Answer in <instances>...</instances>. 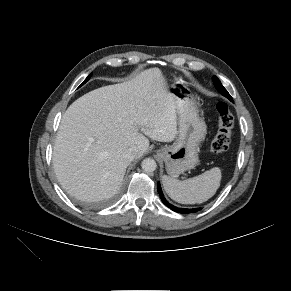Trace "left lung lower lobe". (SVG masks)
I'll return each mask as SVG.
<instances>
[{
  "label": "left lung lower lobe",
  "instance_id": "obj_1",
  "mask_svg": "<svg viewBox=\"0 0 291 291\" xmlns=\"http://www.w3.org/2000/svg\"><path fill=\"white\" fill-rule=\"evenodd\" d=\"M157 189H158V194L160 195V198L162 200V202L167 206L169 207L171 210L177 212V213H182V214H189V213H195L199 210H201V208H192V209H188V208H178V207H175L174 205L170 204L163 196V192L161 190V186H160V183L158 182V185H157Z\"/></svg>",
  "mask_w": 291,
  "mask_h": 291
}]
</instances>
